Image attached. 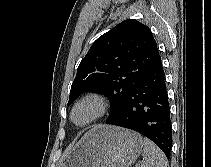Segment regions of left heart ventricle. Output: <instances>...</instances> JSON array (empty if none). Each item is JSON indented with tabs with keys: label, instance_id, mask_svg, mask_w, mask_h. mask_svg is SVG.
I'll use <instances>...</instances> for the list:
<instances>
[{
	"label": "left heart ventricle",
	"instance_id": "1",
	"mask_svg": "<svg viewBox=\"0 0 211 167\" xmlns=\"http://www.w3.org/2000/svg\"><path fill=\"white\" fill-rule=\"evenodd\" d=\"M95 112V108L90 104H85L80 106L75 114L74 119L78 123H83L87 121Z\"/></svg>",
	"mask_w": 211,
	"mask_h": 167
}]
</instances>
